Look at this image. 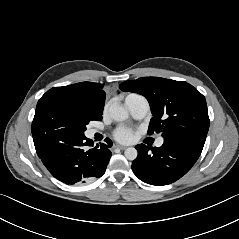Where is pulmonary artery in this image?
Instances as JSON below:
<instances>
[{"label":"pulmonary artery","mask_w":239,"mask_h":239,"mask_svg":"<svg viewBox=\"0 0 239 239\" xmlns=\"http://www.w3.org/2000/svg\"><path fill=\"white\" fill-rule=\"evenodd\" d=\"M125 104L132 116L136 119L144 118L149 111V103L147 99L138 94H131L125 99ZM97 132L95 129L89 130V135H94ZM164 139L161 137L157 140L156 146H162Z\"/></svg>","instance_id":"e3ab8cb5"}]
</instances>
